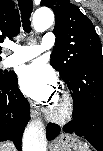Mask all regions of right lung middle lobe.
I'll return each mask as SVG.
<instances>
[{"label":"right lung middle lobe","mask_w":103,"mask_h":151,"mask_svg":"<svg viewBox=\"0 0 103 151\" xmlns=\"http://www.w3.org/2000/svg\"><path fill=\"white\" fill-rule=\"evenodd\" d=\"M15 77V73H7V71H3L0 69V82H10L13 81Z\"/></svg>","instance_id":"right-lung-middle-lobe-1"}]
</instances>
